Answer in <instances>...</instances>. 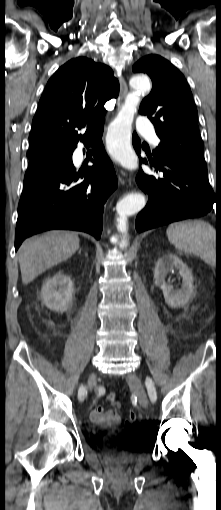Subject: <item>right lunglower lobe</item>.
<instances>
[{"label":"right lung lower lobe","mask_w":221,"mask_h":510,"mask_svg":"<svg viewBox=\"0 0 221 510\" xmlns=\"http://www.w3.org/2000/svg\"><path fill=\"white\" fill-rule=\"evenodd\" d=\"M103 127L83 140H95L93 166L76 171L70 148L66 163L29 169L18 206L15 250L34 234L51 229L83 231L99 239L104 203L117 187L114 167L102 145Z\"/></svg>","instance_id":"98d812e1"}]
</instances>
